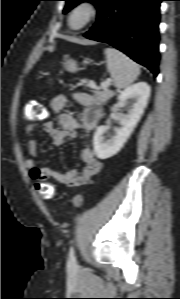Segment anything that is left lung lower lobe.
<instances>
[{"instance_id": "0a47b994", "label": "left lung lower lobe", "mask_w": 180, "mask_h": 299, "mask_svg": "<svg viewBox=\"0 0 180 299\" xmlns=\"http://www.w3.org/2000/svg\"><path fill=\"white\" fill-rule=\"evenodd\" d=\"M164 0H102L97 22L85 33L158 74L159 6Z\"/></svg>"}]
</instances>
